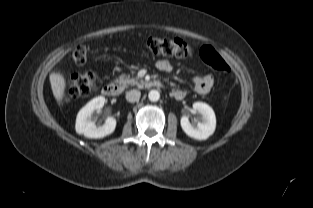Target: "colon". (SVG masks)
Segmentation results:
<instances>
[{"instance_id": "colon-1", "label": "colon", "mask_w": 313, "mask_h": 208, "mask_svg": "<svg viewBox=\"0 0 313 208\" xmlns=\"http://www.w3.org/2000/svg\"><path fill=\"white\" fill-rule=\"evenodd\" d=\"M146 47L155 55L175 56L186 58L192 55V48L185 41L180 39H166L150 37L146 41ZM89 46L79 44L75 46L70 57L76 65H83L87 61ZM200 56L205 63L213 69L230 73V67L220 54L211 46H203L200 49ZM96 87V74L93 71L79 73L72 76L66 86L64 99L66 101L89 96Z\"/></svg>"}]
</instances>
